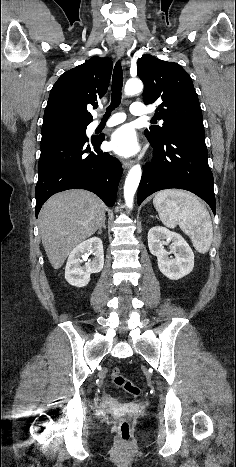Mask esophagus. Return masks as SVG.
Returning <instances> with one entry per match:
<instances>
[{"label": "esophagus", "instance_id": "34e87169", "mask_svg": "<svg viewBox=\"0 0 236 467\" xmlns=\"http://www.w3.org/2000/svg\"><path fill=\"white\" fill-rule=\"evenodd\" d=\"M116 54H117V57L119 59H122L124 57V54H125V49H124V46L121 42H118L117 46H116ZM132 160H123L122 161V165L125 169H128L131 167L132 165Z\"/></svg>", "mask_w": 236, "mask_h": 467}]
</instances>
